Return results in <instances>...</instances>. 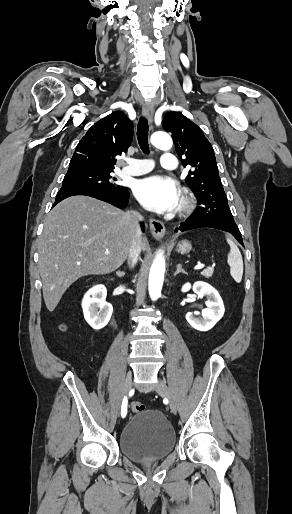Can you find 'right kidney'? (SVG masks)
Wrapping results in <instances>:
<instances>
[{
    "label": "right kidney",
    "mask_w": 292,
    "mask_h": 514,
    "mask_svg": "<svg viewBox=\"0 0 292 514\" xmlns=\"http://www.w3.org/2000/svg\"><path fill=\"white\" fill-rule=\"evenodd\" d=\"M106 296L107 290L105 286L99 284V286L91 288L83 298L84 318L94 330L104 328L112 316L113 306L105 302Z\"/></svg>",
    "instance_id": "obj_1"
}]
</instances>
